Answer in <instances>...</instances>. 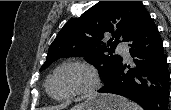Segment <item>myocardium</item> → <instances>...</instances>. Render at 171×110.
<instances>
[{"label": "myocardium", "mask_w": 171, "mask_h": 110, "mask_svg": "<svg viewBox=\"0 0 171 110\" xmlns=\"http://www.w3.org/2000/svg\"><path fill=\"white\" fill-rule=\"evenodd\" d=\"M80 68L84 70L88 77L89 81L87 84L84 86L72 91L71 93L67 94L66 96L63 97H56L54 96L51 91H50V83L52 79L62 70L67 69V68ZM101 87V78L98 73V71L89 63L81 60H70L63 62L59 66H57L52 73L48 76L45 84L46 91L48 95L53 98L54 100L57 101H68L76 97H81V96H90L94 93H96L99 88Z\"/></svg>", "instance_id": "f54148a6"}]
</instances>
